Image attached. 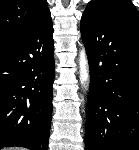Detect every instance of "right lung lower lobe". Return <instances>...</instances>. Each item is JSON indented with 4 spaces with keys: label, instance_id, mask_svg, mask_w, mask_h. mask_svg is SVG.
Listing matches in <instances>:
<instances>
[{
    "label": "right lung lower lobe",
    "instance_id": "1",
    "mask_svg": "<svg viewBox=\"0 0 139 150\" xmlns=\"http://www.w3.org/2000/svg\"><path fill=\"white\" fill-rule=\"evenodd\" d=\"M55 76L53 25L0 42V149L47 150Z\"/></svg>",
    "mask_w": 139,
    "mask_h": 150
}]
</instances>
